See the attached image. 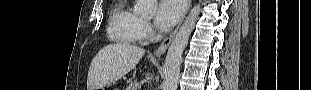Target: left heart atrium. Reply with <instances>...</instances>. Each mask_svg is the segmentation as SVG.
Segmentation results:
<instances>
[{"label": "left heart atrium", "mask_w": 311, "mask_h": 90, "mask_svg": "<svg viewBox=\"0 0 311 90\" xmlns=\"http://www.w3.org/2000/svg\"><path fill=\"white\" fill-rule=\"evenodd\" d=\"M182 0H162L158 3L155 15V25L161 31L172 28L183 12Z\"/></svg>", "instance_id": "1"}]
</instances>
